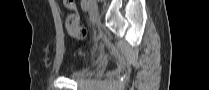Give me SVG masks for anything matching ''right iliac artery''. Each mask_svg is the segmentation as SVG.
<instances>
[{"instance_id":"obj_1","label":"right iliac artery","mask_w":209,"mask_h":90,"mask_svg":"<svg viewBox=\"0 0 209 90\" xmlns=\"http://www.w3.org/2000/svg\"><path fill=\"white\" fill-rule=\"evenodd\" d=\"M81 6H82V9H83L85 12H87L88 9H89V2H87L86 0H84V1H82Z\"/></svg>"}]
</instances>
